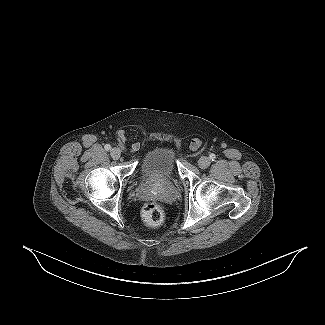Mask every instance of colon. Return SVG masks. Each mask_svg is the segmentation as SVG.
Returning <instances> with one entry per match:
<instances>
[{
  "label": "colon",
  "mask_w": 325,
  "mask_h": 325,
  "mask_svg": "<svg viewBox=\"0 0 325 325\" xmlns=\"http://www.w3.org/2000/svg\"><path fill=\"white\" fill-rule=\"evenodd\" d=\"M193 146L198 147V143L195 142ZM142 217L147 224L155 226L163 221L164 212L159 204L150 202L143 207Z\"/></svg>",
  "instance_id": "5ec220e1"
}]
</instances>
